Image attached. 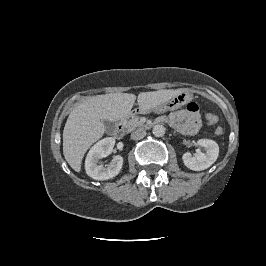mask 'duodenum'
<instances>
[{"label": "duodenum", "mask_w": 266, "mask_h": 266, "mask_svg": "<svg viewBox=\"0 0 266 266\" xmlns=\"http://www.w3.org/2000/svg\"><path fill=\"white\" fill-rule=\"evenodd\" d=\"M137 111H134L133 114H136ZM114 135L116 138H121L124 135V125L123 123H119L115 127Z\"/></svg>", "instance_id": "410a0bca"}]
</instances>
